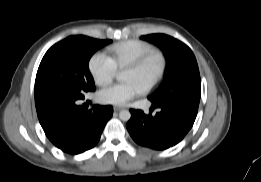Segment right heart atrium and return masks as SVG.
I'll list each match as a JSON object with an SVG mask.
<instances>
[{"label":"right heart atrium","mask_w":261,"mask_h":182,"mask_svg":"<svg viewBox=\"0 0 261 182\" xmlns=\"http://www.w3.org/2000/svg\"><path fill=\"white\" fill-rule=\"evenodd\" d=\"M88 69L98 86H106L111 83L116 75L117 69L104 52L94 53L89 62Z\"/></svg>","instance_id":"obj_1"}]
</instances>
